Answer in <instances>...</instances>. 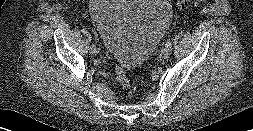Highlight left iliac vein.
<instances>
[{
    "instance_id": "4c4485c4",
    "label": "left iliac vein",
    "mask_w": 253,
    "mask_h": 131,
    "mask_svg": "<svg viewBox=\"0 0 253 131\" xmlns=\"http://www.w3.org/2000/svg\"><path fill=\"white\" fill-rule=\"evenodd\" d=\"M172 53V48L171 47H165L162 51V56L163 58H168Z\"/></svg>"
}]
</instances>
